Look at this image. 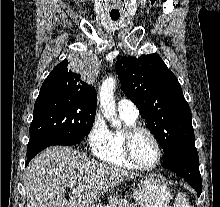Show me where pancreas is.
<instances>
[{
  "mask_svg": "<svg viewBox=\"0 0 220 207\" xmlns=\"http://www.w3.org/2000/svg\"><path fill=\"white\" fill-rule=\"evenodd\" d=\"M102 207H134V205L129 204L128 202L118 199L114 196L109 198V204Z\"/></svg>",
  "mask_w": 220,
  "mask_h": 207,
  "instance_id": "1",
  "label": "pancreas"
}]
</instances>
